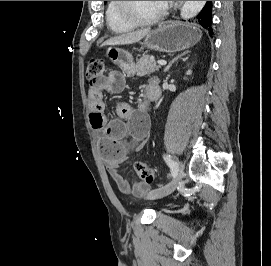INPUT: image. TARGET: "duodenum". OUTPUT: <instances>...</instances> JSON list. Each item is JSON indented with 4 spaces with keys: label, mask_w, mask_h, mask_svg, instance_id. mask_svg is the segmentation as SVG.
<instances>
[{
    "label": "duodenum",
    "mask_w": 271,
    "mask_h": 266,
    "mask_svg": "<svg viewBox=\"0 0 271 266\" xmlns=\"http://www.w3.org/2000/svg\"><path fill=\"white\" fill-rule=\"evenodd\" d=\"M160 96V89L156 84H151L147 89V98L149 100H155Z\"/></svg>",
    "instance_id": "410a0bca"
}]
</instances>
